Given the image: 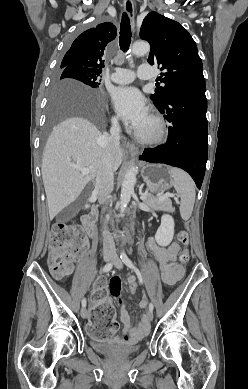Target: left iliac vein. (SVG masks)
Listing matches in <instances>:
<instances>
[{
    "mask_svg": "<svg viewBox=\"0 0 248 389\" xmlns=\"http://www.w3.org/2000/svg\"><path fill=\"white\" fill-rule=\"evenodd\" d=\"M112 261H113V263H114V265H115V267H116L117 269H121V268H122V261L120 260V258H119L117 255H114V256H113ZM147 319H148L149 321H152V320H153V312L150 311V310H149L148 313H147Z\"/></svg>",
    "mask_w": 248,
    "mask_h": 389,
    "instance_id": "left-iliac-vein-1",
    "label": "left iliac vein"
}]
</instances>
